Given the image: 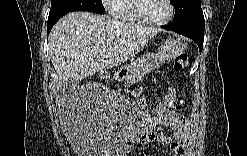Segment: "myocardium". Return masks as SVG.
<instances>
[{
    "label": "myocardium",
    "mask_w": 247,
    "mask_h": 156,
    "mask_svg": "<svg viewBox=\"0 0 247 156\" xmlns=\"http://www.w3.org/2000/svg\"><path fill=\"white\" fill-rule=\"evenodd\" d=\"M141 2L142 1L140 0H135L132 2V13L138 22H141L143 24L150 25V26H161V25H165L169 23L171 19L173 18L174 7L170 0H164L165 4L168 7V14L163 19H150V18L144 17L140 10Z\"/></svg>",
    "instance_id": "1"
}]
</instances>
